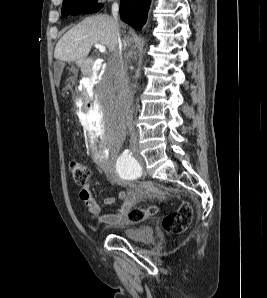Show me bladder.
Listing matches in <instances>:
<instances>
[{"mask_svg":"<svg viewBox=\"0 0 267 298\" xmlns=\"http://www.w3.org/2000/svg\"><path fill=\"white\" fill-rule=\"evenodd\" d=\"M121 235L136 242H152L154 240V232L151 226L125 228L121 230Z\"/></svg>","mask_w":267,"mask_h":298,"instance_id":"bladder-1","label":"bladder"}]
</instances>
